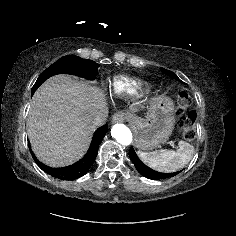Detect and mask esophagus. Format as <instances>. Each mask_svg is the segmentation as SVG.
I'll list each match as a JSON object with an SVG mask.
<instances>
[{"mask_svg":"<svg viewBox=\"0 0 236 236\" xmlns=\"http://www.w3.org/2000/svg\"><path fill=\"white\" fill-rule=\"evenodd\" d=\"M126 117H127L126 114L118 112L115 115H113L112 122L113 123L123 122Z\"/></svg>","mask_w":236,"mask_h":236,"instance_id":"1","label":"esophagus"}]
</instances>
